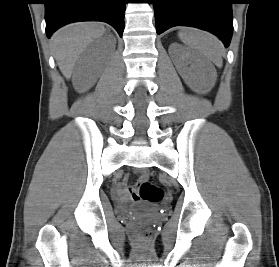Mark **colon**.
Listing matches in <instances>:
<instances>
[{"label":"colon","instance_id":"1","mask_svg":"<svg viewBox=\"0 0 279 267\" xmlns=\"http://www.w3.org/2000/svg\"><path fill=\"white\" fill-rule=\"evenodd\" d=\"M138 192L141 200L150 202H160L164 197V191L159 186L148 181V174L143 172L140 174L138 182ZM150 235L148 229L141 232V236L147 238Z\"/></svg>","mask_w":279,"mask_h":267}]
</instances>
